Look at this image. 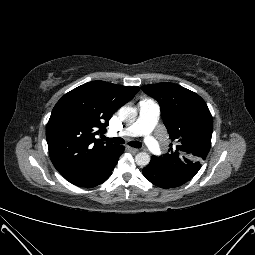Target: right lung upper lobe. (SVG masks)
I'll list each match as a JSON object with an SVG mask.
<instances>
[{"mask_svg":"<svg viewBox=\"0 0 255 255\" xmlns=\"http://www.w3.org/2000/svg\"><path fill=\"white\" fill-rule=\"evenodd\" d=\"M139 91L104 81L83 84L55 105L46 128L50 158L69 182L87 176L106 164L118 145L95 138L104 133L111 116Z\"/></svg>","mask_w":255,"mask_h":255,"instance_id":"right-lung-upper-lobe-1","label":"right lung upper lobe"}]
</instances>
